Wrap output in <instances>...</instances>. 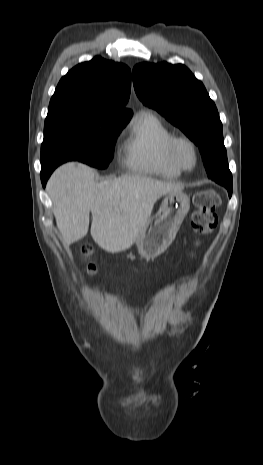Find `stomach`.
Segmentation results:
<instances>
[{
  "label": "stomach",
  "instance_id": "obj_1",
  "mask_svg": "<svg viewBox=\"0 0 263 465\" xmlns=\"http://www.w3.org/2000/svg\"><path fill=\"white\" fill-rule=\"evenodd\" d=\"M189 208L190 198L185 193H167L158 213L147 220L134 240L139 254L147 259L162 254L174 240Z\"/></svg>",
  "mask_w": 263,
  "mask_h": 465
}]
</instances>
